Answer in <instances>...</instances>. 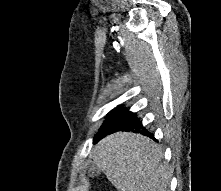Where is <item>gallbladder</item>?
<instances>
[{
  "label": "gallbladder",
  "instance_id": "bac80fb5",
  "mask_svg": "<svg viewBox=\"0 0 221 191\" xmlns=\"http://www.w3.org/2000/svg\"><path fill=\"white\" fill-rule=\"evenodd\" d=\"M100 172L101 170L94 163L89 164L87 169L89 177H96L100 174Z\"/></svg>",
  "mask_w": 221,
  "mask_h": 191
}]
</instances>
